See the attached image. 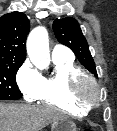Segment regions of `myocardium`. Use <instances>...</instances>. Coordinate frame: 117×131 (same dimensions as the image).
I'll return each mask as SVG.
<instances>
[{
  "mask_svg": "<svg viewBox=\"0 0 117 131\" xmlns=\"http://www.w3.org/2000/svg\"><path fill=\"white\" fill-rule=\"evenodd\" d=\"M73 96L80 102L92 107H97L102 101V90L97 80L87 74L81 73L70 84Z\"/></svg>",
  "mask_w": 117,
  "mask_h": 131,
  "instance_id": "1",
  "label": "myocardium"
}]
</instances>
